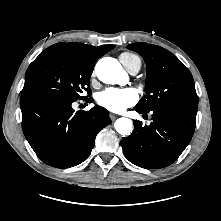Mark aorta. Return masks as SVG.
<instances>
[{"mask_svg": "<svg viewBox=\"0 0 221 221\" xmlns=\"http://www.w3.org/2000/svg\"><path fill=\"white\" fill-rule=\"evenodd\" d=\"M97 77L104 83L117 84L125 76V72L120 63L110 57L99 60L95 67ZM132 121L128 118H119L115 121L114 127L121 135H127L132 130Z\"/></svg>", "mask_w": 221, "mask_h": 221, "instance_id": "762f6f07", "label": "aorta"}]
</instances>
